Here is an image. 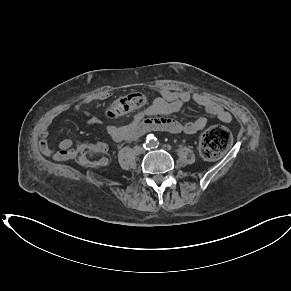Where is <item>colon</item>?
<instances>
[{
  "label": "colon",
  "mask_w": 291,
  "mask_h": 291,
  "mask_svg": "<svg viewBox=\"0 0 291 291\" xmlns=\"http://www.w3.org/2000/svg\"><path fill=\"white\" fill-rule=\"evenodd\" d=\"M147 98L141 93H132L115 100L108 108L110 118H119L144 106ZM230 132L223 126L210 127L203 134L200 150L204 157L215 159L221 156L231 145ZM78 161L82 165L103 166L107 163L105 152L98 144H84L77 151Z\"/></svg>",
  "instance_id": "colon-1"
}]
</instances>
